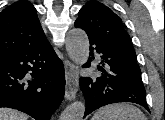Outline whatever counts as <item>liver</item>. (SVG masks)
<instances>
[{
    "label": "liver",
    "instance_id": "obj_1",
    "mask_svg": "<svg viewBox=\"0 0 165 120\" xmlns=\"http://www.w3.org/2000/svg\"><path fill=\"white\" fill-rule=\"evenodd\" d=\"M0 120H28V116L10 108H0Z\"/></svg>",
    "mask_w": 165,
    "mask_h": 120
}]
</instances>
